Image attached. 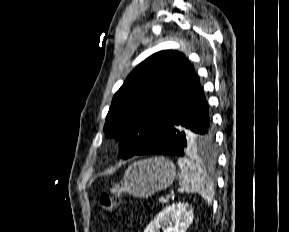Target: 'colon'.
I'll return each instance as SVG.
<instances>
[{"label": "colon", "instance_id": "colon-1", "mask_svg": "<svg viewBox=\"0 0 289 232\" xmlns=\"http://www.w3.org/2000/svg\"><path fill=\"white\" fill-rule=\"evenodd\" d=\"M100 204L106 213H112L113 210L120 204L118 200L107 193L100 196Z\"/></svg>", "mask_w": 289, "mask_h": 232}]
</instances>
